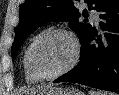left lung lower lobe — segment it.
<instances>
[{
  "mask_svg": "<svg viewBox=\"0 0 119 95\" xmlns=\"http://www.w3.org/2000/svg\"><path fill=\"white\" fill-rule=\"evenodd\" d=\"M97 11L103 33L91 27L81 41L78 65L54 82H75L119 94V0H106Z\"/></svg>",
  "mask_w": 119,
  "mask_h": 95,
  "instance_id": "obj_1",
  "label": "left lung lower lobe"
}]
</instances>
